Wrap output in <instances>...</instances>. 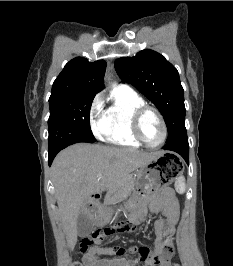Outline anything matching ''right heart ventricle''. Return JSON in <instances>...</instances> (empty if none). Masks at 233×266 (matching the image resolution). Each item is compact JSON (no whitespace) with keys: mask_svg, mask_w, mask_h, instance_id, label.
<instances>
[{"mask_svg":"<svg viewBox=\"0 0 233 266\" xmlns=\"http://www.w3.org/2000/svg\"><path fill=\"white\" fill-rule=\"evenodd\" d=\"M143 104V98L130 87H114L110 93V104L104 113V140L114 145L140 147L141 144L132 134L131 119L134 110Z\"/></svg>","mask_w":233,"mask_h":266,"instance_id":"e07e8e85","label":"right heart ventricle"}]
</instances>
